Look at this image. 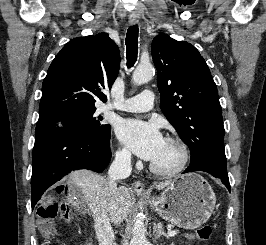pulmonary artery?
<instances>
[{"mask_svg":"<svg viewBox=\"0 0 266 245\" xmlns=\"http://www.w3.org/2000/svg\"><path fill=\"white\" fill-rule=\"evenodd\" d=\"M152 95V91H143L142 94L129 96V99H125L124 101L109 103V108L127 112H146L153 108V102L151 101Z\"/></svg>","mask_w":266,"mask_h":245,"instance_id":"1","label":"pulmonary artery"}]
</instances>
